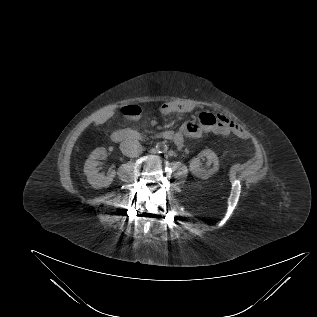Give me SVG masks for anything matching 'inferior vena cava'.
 Segmentation results:
<instances>
[{
	"instance_id": "inferior-vena-cava-1",
	"label": "inferior vena cava",
	"mask_w": 317,
	"mask_h": 317,
	"mask_svg": "<svg viewBox=\"0 0 317 317\" xmlns=\"http://www.w3.org/2000/svg\"><path fill=\"white\" fill-rule=\"evenodd\" d=\"M120 150L128 157H137L142 152V146L137 140H125L120 144Z\"/></svg>"
}]
</instances>
